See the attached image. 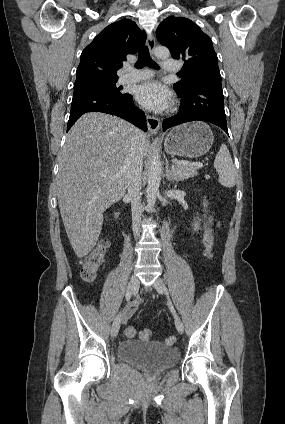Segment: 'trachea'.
<instances>
[{"label":"trachea","instance_id":"3493384b","mask_svg":"<svg viewBox=\"0 0 285 424\" xmlns=\"http://www.w3.org/2000/svg\"><path fill=\"white\" fill-rule=\"evenodd\" d=\"M144 66H149L151 68L158 69L159 66L156 62H154L149 54L148 47H142L138 52V60L135 64L136 68H142Z\"/></svg>","mask_w":285,"mask_h":424}]
</instances>
